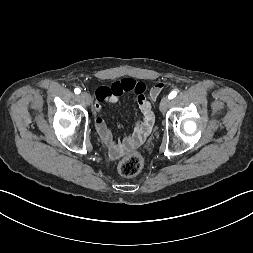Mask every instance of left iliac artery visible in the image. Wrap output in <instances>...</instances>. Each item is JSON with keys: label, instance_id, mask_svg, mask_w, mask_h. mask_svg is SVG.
<instances>
[{"label": "left iliac artery", "instance_id": "44dca946", "mask_svg": "<svg viewBox=\"0 0 253 253\" xmlns=\"http://www.w3.org/2000/svg\"><path fill=\"white\" fill-rule=\"evenodd\" d=\"M177 95V92L176 91H172L169 95H168V98L169 99H173L174 97H176Z\"/></svg>", "mask_w": 253, "mask_h": 253}]
</instances>
